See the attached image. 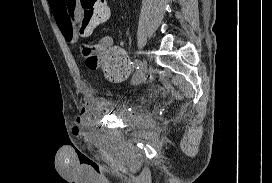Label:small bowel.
<instances>
[{
	"mask_svg": "<svg viewBox=\"0 0 272 183\" xmlns=\"http://www.w3.org/2000/svg\"><path fill=\"white\" fill-rule=\"evenodd\" d=\"M67 2V0H48L51 12L62 36L67 42L75 43L77 42L79 35L88 34L78 33L68 23L66 11ZM77 15L78 13H76V16ZM97 47L102 54L111 55L113 57V61L110 65H102L106 75L113 81H122L126 79L131 72V66L126 51L123 48L114 46V40L111 35L103 36ZM87 113L88 109L83 108L77 116V122L83 121Z\"/></svg>",
	"mask_w": 272,
	"mask_h": 183,
	"instance_id": "small-bowel-1",
	"label": "small bowel"
}]
</instances>
